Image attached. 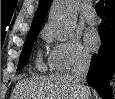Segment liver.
I'll list each match as a JSON object with an SVG mask.
<instances>
[{"label": "liver", "instance_id": "liver-1", "mask_svg": "<svg viewBox=\"0 0 115 99\" xmlns=\"http://www.w3.org/2000/svg\"><path fill=\"white\" fill-rule=\"evenodd\" d=\"M90 96L89 89L87 95H82L70 74H54L18 81L12 99H90Z\"/></svg>", "mask_w": 115, "mask_h": 99}]
</instances>
